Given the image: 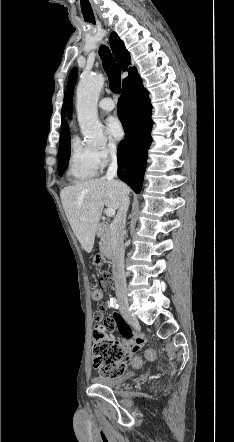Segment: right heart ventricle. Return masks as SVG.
Masks as SVG:
<instances>
[{
    "mask_svg": "<svg viewBox=\"0 0 234 442\" xmlns=\"http://www.w3.org/2000/svg\"><path fill=\"white\" fill-rule=\"evenodd\" d=\"M99 168L95 149L74 136L70 144L67 176L73 181H86L97 176Z\"/></svg>",
    "mask_w": 234,
    "mask_h": 442,
    "instance_id": "obj_1",
    "label": "right heart ventricle"
}]
</instances>
